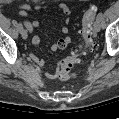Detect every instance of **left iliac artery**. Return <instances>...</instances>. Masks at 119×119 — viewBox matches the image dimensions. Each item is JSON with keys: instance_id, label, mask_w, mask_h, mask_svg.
I'll use <instances>...</instances> for the list:
<instances>
[{"instance_id": "obj_1", "label": "left iliac artery", "mask_w": 119, "mask_h": 119, "mask_svg": "<svg viewBox=\"0 0 119 119\" xmlns=\"http://www.w3.org/2000/svg\"><path fill=\"white\" fill-rule=\"evenodd\" d=\"M102 18H103V14L102 12H99L97 15V19L102 20Z\"/></svg>"}]
</instances>
